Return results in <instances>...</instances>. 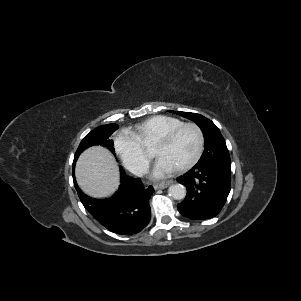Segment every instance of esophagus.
I'll list each match as a JSON object with an SVG mask.
<instances>
[{
    "label": "esophagus",
    "mask_w": 301,
    "mask_h": 301,
    "mask_svg": "<svg viewBox=\"0 0 301 301\" xmlns=\"http://www.w3.org/2000/svg\"><path fill=\"white\" fill-rule=\"evenodd\" d=\"M174 181L171 179V180H167V181H164V182H161V183H157V184H154V188L157 190V189H164L166 187H168L170 184H172Z\"/></svg>",
    "instance_id": "obj_1"
}]
</instances>
